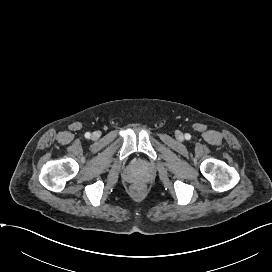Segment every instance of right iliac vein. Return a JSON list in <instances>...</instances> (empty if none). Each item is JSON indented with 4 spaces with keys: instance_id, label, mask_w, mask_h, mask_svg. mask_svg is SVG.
<instances>
[{
    "instance_id": "63e3f726",
    "label": "right iliac vein",
    "mask_w": 272,
    "mask_h": 272,
    "mask_svg": "<svg viewBox=\"0 0 272 272\" xmlns=\"http://www.w3.org/2000/svg\"><path fill=\"white\" fill-rule=\"evenodd\" d=\"M93 138H97L98 137V133L97 132H95V133H93Z\"/></svg>"
}]
</instances>
